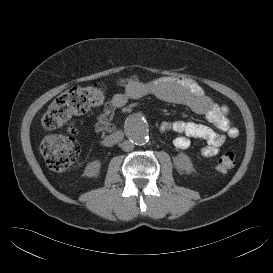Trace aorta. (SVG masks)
Segmentation results:
<instances>
[{"mask_svg": "<svg viewBox=\"0 0 273 273\" xmlns=\"http://www.w3.org/2000/svg\"><path fill=\"white\" fill-rule=\"evenodd\" d=\"M126 133L136 145L143 146L149 141L147 124L141 118H131L125 127Z\"/></svg>", "mask_w": 273, "mask_h": 273, "instance_id": "762f6f07", "label": "aorta"}]
</instances>
